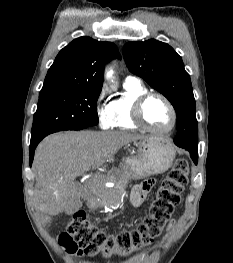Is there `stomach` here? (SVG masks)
<instances>
[{
	"label": "stomach",
	"mask_w": 233,
	"mask_h": 263,
	"mask_svg": "<svg viewBox=\"0 0 233 263\" xmlns=\"http://www.w3.org/2000/svg\"><path fill=\"white\" fill-rule=\"evenodd\" d=\"M175 157L171 142L161 136H148L137 145L134 156L125 160L122 171L129 179H142L170 168Z\"/></svg>",
	"instance_id": "0dacf381"
}]
</instances>
